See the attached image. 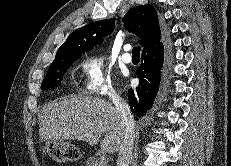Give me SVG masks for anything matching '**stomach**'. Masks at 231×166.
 Returning a JSON list of instances; mask_svg holds the SVG:
<instances>
[{"mask_svg": "<svg viewBox=\"0 0 231 166\" xmlns=\"http://www.w3.org/2000/svg\"><path fill=\"white\" fill-rule=\"evenodd\" d=\"M48 154L57 162L76 161L81 157L80 150L62 139L46 141Z\"/></svg>", "mask_w": 231, "mask_h": 166, "instance_id": "stomach-1", "label": "stomach"}]
</instances>
